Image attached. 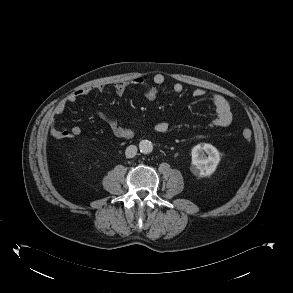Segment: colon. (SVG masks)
I'll list each match as a JSON object with an SVG mask.
<instances>
[{"mask_svg":"<svg viewBox=\"0 0 293 293\" xmlns=\"http://www.w3.org/2000/svg\"><path fill=\"white\" fill-rule=\"evenodd\" d=\"M242 136L244 140L250 141L252 139V132L249 129H245L242 132Z\"/></svg>","mask_w":293,"mask_h":293,"instance_id":"5ec220e1","label":"colon"}]
</instances>
